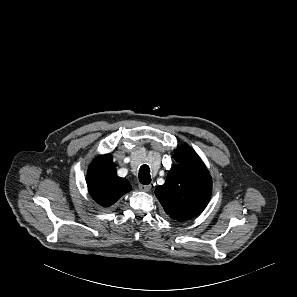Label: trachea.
Segmentation results:
<instances>
[{
    "instance_id": "3493384b",
    "label": "trachea",
    "mask_w": 297,
    "mask_h": 297,
    "mask_svg": "<svg viewBox=\"0 0 297 297\" xmlns=\"http://www.w3.org/2000/svg\"><path fill=\"white\" fill-rule=\"evenodd\" d=\"M138 178L143 185H148L151 182L150 168L148 165H142L140 167Z\"/></svg>"
}]
</instances>
